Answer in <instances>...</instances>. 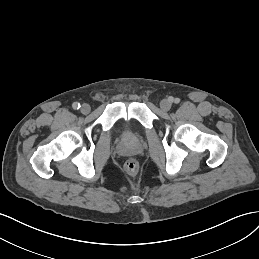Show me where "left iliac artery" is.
<instances>
[{
    "label": "left iliac artery",
    "mask_w": 259,
    "mask_h": 259,
    "mask_svg": "<svg viewBox=\"0 0 259 259\" xmlns=\"http://www.w3.org/2000/svg\"><path fill=\"white\" fill-rule=\"evenodd\" d=\"M179 102H180V99H179V98H175V99H174V103L177 104V103H179Z\"/></svg>",
    "instance_id": "left-iliac-artery-1"
}]
</instances>
